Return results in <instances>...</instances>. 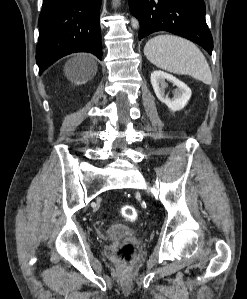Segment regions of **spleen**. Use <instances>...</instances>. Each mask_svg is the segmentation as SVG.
Returning <instances> with one entry per match:
<instances>
[{
  "label": "spleen",
  "mask_w": 247,
  "mask_h": 299,
  "mask_svg": "<svg viewBox=\"0 0 247 299\" xmlns=\"http://www.w3.org/2000/svg\"><path fill=\"white\" fill-rule=\"evenodd\" d=\"M144 54L158 68L175 74L190 75L208 85L212 83L211 70L205 56L187 39L158 35L146 43Z\"/></svg>",
  "instance_id": "spleen-1"
}]
</instances>
